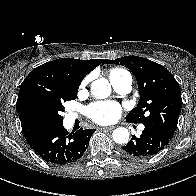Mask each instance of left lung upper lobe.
<instances>
[{
	"label": "left lung upper lobe",
	"mask_w": 196,
	"mask_h": 196,
	"mask_svg": "<svg viewBox=\"0 0 196 196\" xmlns=\"http://www.w3.org/2000/svg\"><path fill=\"white\" fill-rule=\"evenodd\" d=\"M104 63L125 66L136 77L140 99L126 120L155 125L173 137L182 99L180 86L172 74L162 65L138 56L105 60Z\"/></svg>",
	"instance_id": "1"
}]
</instances>
